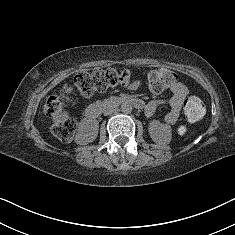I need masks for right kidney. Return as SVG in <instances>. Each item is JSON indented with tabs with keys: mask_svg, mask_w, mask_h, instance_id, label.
Here are the masks:
<instances>
[{
	"mask_svg": "<svg viewBox=\"0 0 235 235\" xmlns=\"http://www.w3.org/2000/svg\"><path fill=\"white\" fill-rule=\"evenodd\" d=\"M92 131L89 136H88V132ZM98 134V122L97 120H86L84 121L79 129H78V133H77V143L79 142H83V143H90L93 142ZM85 135H87L85 137Z\"/></svg>",
	"mask_w": 235,
	"mask_h": 235,
	"instance_id": "1",
	"label": "right kidney"
}]
</instances>
